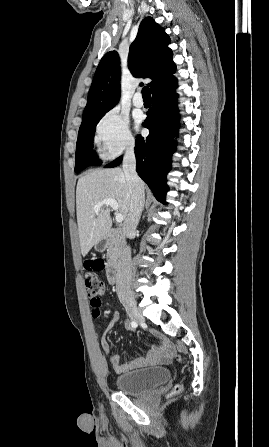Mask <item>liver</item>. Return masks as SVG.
I'll list each match as a JSON object with an SVG mask.
<instances>
[{"label": "liver", "instance_id": "liver-1", "mask_svg": "<svg viewBox=\"0 0 269 447\" xmlns=\"http://www.w3.org/2000/svg\"><path fill=\"white\" fill-rule=\"evenodd\" d=\"M116 200L118 212L126 220L130 208V194L121 168L113 170H88L79 178L76 188V214L82 255H87L95 243L105 239L112 227L111 206H101V200Z\"/></svg>", "mask_w": 269, "mask_h": 447}]
</instances>
